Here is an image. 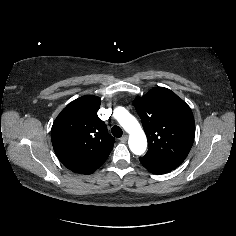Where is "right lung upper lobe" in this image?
I'll use <instances>...</instances> for the list:
<instances>
[{
    "instance_id": "1",
    "label": "right lung upper lobe",
    "mask_w": 236,
    "mask_h": 236,
    "mask_svg": "<svg viewBox=\"0 0 236 236\" xmlns=\"http://www.w3.org/2000/svg\"><path fill=\"white\" fill-rule=\"evenodd\" d=\"M97 96L80 97L68 104L55 119L51 141L60 162L79 174H91L109 156L115 139L97 116Z\"/></svg>"
}]
</instances>
